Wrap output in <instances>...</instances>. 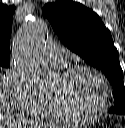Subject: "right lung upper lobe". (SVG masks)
Wrapping results in <instances>:
<instances>
[{"mask_svg": "<svg viewBox=\"0 0 125 128\" xmlns=\"http://www.w3.org/2000/svg\"><path fill=\"white\" fill-rule=\"evenodd\" d=\"M15 6L0 4V59L10 60V35Z\"/></svg>", "mask_w": 125, "mask_h": 128, "instance_id": "cb5924a9", "label": "right lung upper lobe"}]
</instances>
